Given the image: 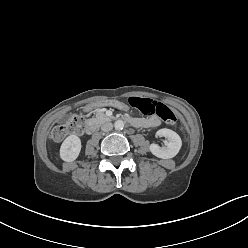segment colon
I'll list each match as a JSON object with an SVG mask.
<instances>
[{
    "label": "colon",
    "mask_w": 248,
    "mask_h": 248,
    "mask_svg": "<svg viewBox=\"0 0 248 248\" xmlns=\"http://www.w3.org/2000/svg\"><path fill=\"white\" fill-rule=\"evenodd\" d=\"M131 106L145 115H156L168 124L176 122L177 117L174 111L168 106L147 98L131 97ZM83 128V122L78 117L70 118L64 123L56 126L51 131V138L55 141L64 139L70 134L78 133Z\"/></svg>",
    "instance_id": "5ec220e1"
}]
</instances>
